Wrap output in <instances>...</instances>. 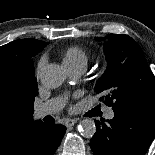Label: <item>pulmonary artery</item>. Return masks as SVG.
<instances>
[{
  "mask_svg": "<svg viewBox=\"0 0 155 155\" xmlns=\"http://www.w3.org/2000/svg\"><path fill=\"white\" fill-rule=\"evenodd\" d=\"M68 69L72 76L78 77L85 72L86 66L77 65V66L68 67ZM63 106H64V101L62 99L60 98L51 99L43 103L36 109L35 117L43 118L47 115H53L59 112L63 108ZM106 117L108 119H112L114 117V112L112 110L108 111V113L106 114Z\"/></svg>",
  "mask_w": 155,
  "mask_h": 155,
  "instance_id": "1",
  "label": "pulmonary artery"
}]
</instances>
